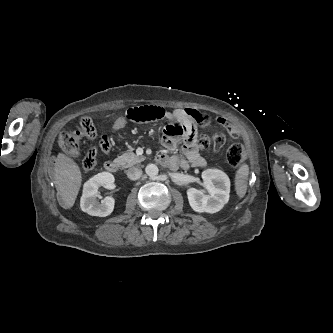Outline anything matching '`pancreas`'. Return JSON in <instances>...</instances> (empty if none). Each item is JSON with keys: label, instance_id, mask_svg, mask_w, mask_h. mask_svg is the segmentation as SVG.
I'll return each mask as SVG.
<instances>
[{"label": "pancreas", "instance_id": "1", "mask_svg": "<svg viewBox=\"0 0 333 333\" xmlns=\"http://www.w3.org/2000/svg\"><path fill=\"white\" fill-rule=\"evenodd\" d=\"M121 162V165L124 168L131 167L135 164L142 162L145 158L143 156H138L133 152H126L118 158Z\"/></svg>", "mask_w": 333, "mask_h": 333}]
</instances>
